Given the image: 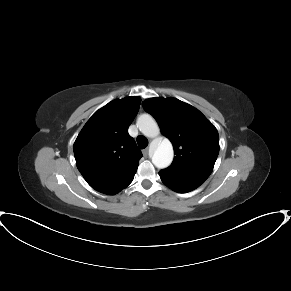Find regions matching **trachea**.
Segmentation results:
<instances>
[{
    "instance_id": "3493384b",
    "label": "trachea",
    "mask_w": 291,
    "mask_h": 291,
    "mask_svg": "<svg viewBox=\"0 0 291 291\" xmlns=\"http://www.w3.org/2000/svg\"><path fill=\"white\" fill-rule=\"evenodd\" d=\"M137 143H138V146H139L140 149H144L148 145V140H147L146 137H144L142 135H139L137 137Z\"/></svg>"
}]
</instances>
